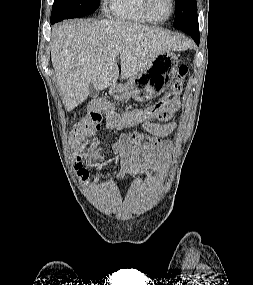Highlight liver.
I'll use <instances>...</instances> for the list:
<instances>
[{
    "instance_id": "liver-1",
    "label": "liver",
    "mask_w": 253,
    "mask_h": 285,
    "mask_svg": "<svg viewBox=\"0 0 253 285\" xmlns=\"http://www.w3.org/2000/svg\"><path fill=\"white\" fill-rule=\"evenodd\" d=\"M51 61L66 111L88 97L89 84L103 90L119 78L128 79L165 51L182 50V37L132 22L103 20L63 21L54 26Z\"/></svg>"
}]
</instances>
